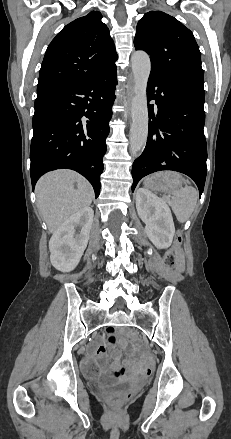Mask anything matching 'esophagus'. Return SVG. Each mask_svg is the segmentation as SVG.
<instances>
[{
	"instance_id": "34e87169",
	"label": "esophagus",
	"mask_w": 231,
	"mask_h": 439,
	"mask_svg": "<svg viewBox=\"0 0 231 439\" xmlns=\"http://www.w3.org/2000/svg\"><path fill=\"white\" fill-rule=\"evenodd\" d=\"M134 90H135L134 79L132 76H130L129 82H128V93H127L128 107H130V101L133 97Z\"/></svg>"
}]
</instances>
